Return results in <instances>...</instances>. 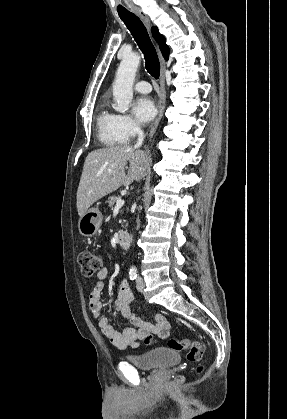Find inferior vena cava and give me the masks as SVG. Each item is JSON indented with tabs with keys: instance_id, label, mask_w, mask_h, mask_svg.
<instances>
[{
	"instance_id": "602c4592",
	"label": "inferior vena cava",
	"mask_w": 287,
	"mask_h": 419,
	"mask_svg": "<svg viewBox=\"0 0 287 419\" xmlns=\"http://www.w3.org/2000/svg\"><path fill=\"white\" fill-rule=\"evenodd\" d=\"M136 132H137L138 139H137V143L135 147H139L142 145L145 136H144V132L139 127L136 128Z\"/></svg>"
}]
</instances>
